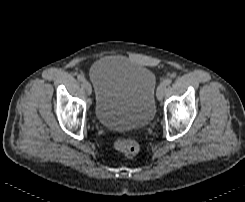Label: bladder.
I'll list each match as a JSON object with an SVG mask.
<instances>
[{
	"label": "bladder",
	"mask_w": 245,
	"mask_h": 202,
	"mask_svg": "<svg viewBox=\"0 0 245 202\" xmlns=\"http://www.w3.org/2000/svg\"><path fill=\"white\" fill-rule=\"evenodd\" d=\"M93 112L105 128L133 130L147 127L155 116L157 80L146 66L117 60L92 66Z\"/></svg>",
	"instance_id": "obj_1"
}]
</instances>
